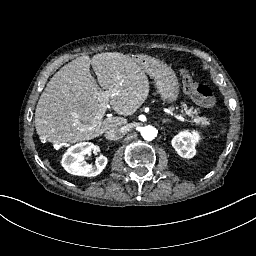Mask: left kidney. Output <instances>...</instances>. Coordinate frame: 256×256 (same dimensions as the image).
I'll return each instance as SVG.
<instances>
[{
	"label": "left kidney",
	"mask_w": 256,
	"mask_h": 256,
	"mask_svg": "<svg viewBox=\"0 0 256 256\" xmlns=\"http://www.w3.org/2000/svg\"><path fill=\"white\" fill-rule=\"evenodd\" d=\"M198 139L199 136L197 133L192 135L189 132H181L179 135L173 138L172 146L180 157L192 158L196 153L195 141Z\"/></svg>",
	"instance_id": "1"
}]
</instances>
